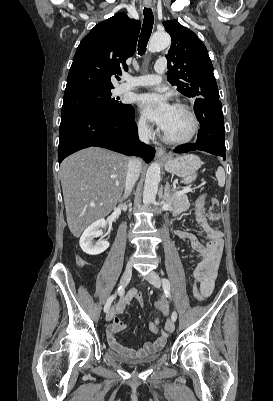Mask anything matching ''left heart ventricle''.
Returning <instances> with one entry per match:
<instances>
[{
	"mask_svg": "<svg viewBox=\"0 0 273 401\" xmlns=\"http://www.w3.org/2000/svg\"><path fill=\"white\" fill-rule=\"evenodd\" d=\"M192 121L183 111L174 108L164 131L171 137L184 138L192 131Z\"/></svg>",
	"mask_w": 273,
	"mask_h": 401,
	"instance_id": "left-heart-ventricle-1",
	"label": "left heart ventricle"
}]
</instances>
